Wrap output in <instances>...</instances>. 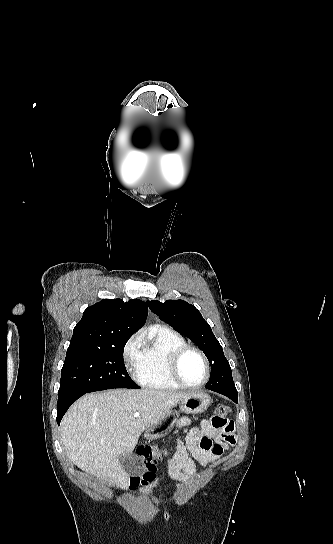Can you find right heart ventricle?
I'll use <instances>...</instances> for the list:
<instances>
[{
	"label": "right heart ventricle",
	"instance_id": "1",
	"mask_svg": "<svg viewBox=\"0 0 333 544\" xmlns=\"http://www.w3.org/2000/svg\"><path fill=\"white\" fill-rule=\"evenodd\" d=\"M186 345L185 339L166 327H153L140 338V352L135 371L137 381L144 387L173 390L179 386L170 376L168 360L171 353Z\"/></svg>",
	"mask_w": 333,
	"mask_h": 544
}]
</instances>
